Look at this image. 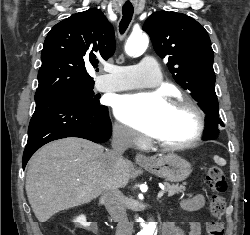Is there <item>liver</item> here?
<instances>
[{
    "mask_svg": "<svg viewBox=\"0 0 250 235\" xmlns=\"http://www.w3.org/2000/svg\"><path fill=\"white\" fill-rule=\"evenodd\" d=\"M103 155L101 145L70 137L51 142L32 156L25 188L39 222H46L59 211L90 202L104 188L127 185L129 162L123 159L110 173Z\"/></svg>",
    "mask_w": 250,
    "mask_h": 235,
    "instance_id": "liver-1",
    "label": "liver"
}]
</instances>
